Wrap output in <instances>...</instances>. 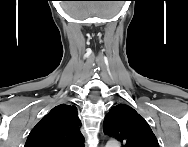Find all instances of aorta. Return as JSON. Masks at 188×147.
Masks as SVG:
<instances>
[{
  "label": "aorta",
  "instance_id": "aorta-1",
  "mask_svg": "<svg viewBox=\"0 0 188 147\" xmlns=\"http://www.w3.org/2000/svg\"><path fill=\"white\" fill-rule=\"evenodd\" d=\"M107 147H119V143L117 140H109L106 144Z\"/></svg>",
  "mask_w": 188,
  "mask_h": 147
}]
</instances>
